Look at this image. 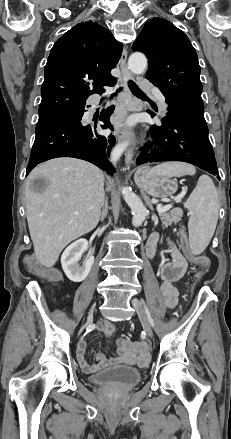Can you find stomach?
Instances as JSON below:
<instances>
[{"mask_svg":"<svg viewBox=\"0 0 231 439\" xmlns=\"http://www.w3.org/2000/svg\"><path fill=\"white\" fill-rule=\"evenodd\" d=\"M134 180L143 192L155 198L163 199L172 196L178 188L177 181L171 176L152 174L148 167L138 168Z\"/></svg>","mask_w":231,"mask_h":439,"instance_id":"stomach-1","label":"stomach"}]
</instances>
